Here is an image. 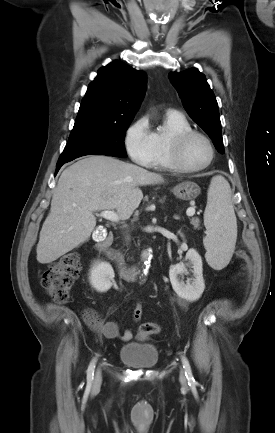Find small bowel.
<instances>
[{
    "instance_id": "obj_1",
    "label": "small bowel",
    "mask_w": 275,
    "mask_h": 433,
    "mask_svg": "<svg viewBox=\"0 0 275 433\" xmlns=\"http://www.w3.org/2000/svg\"><path fill=\"white\" fill-rule=\"evenodd\" d=\"M142 316V307L140 304H135L132 311V319L134 322H138ZM103 334L108 339H113L119 336V325L115 321H108L103 326ZM137 339L139 340H147L149 338L148 335L141 334L138 332L136 334ZM121 340L129 341L133 338V332L131 329H127L120 336Z\"/></svg>"
}]
</instances>
